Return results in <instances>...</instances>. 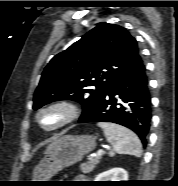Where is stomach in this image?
I'll list each match as a JSON object with an SVG mask.
<instances>
[{"label": "stomach", "mask_w": 178, "mask_h": 186, "mask_svg": "<svg viewBox=\"0 0 178 186\" xmlns=\"http://www.w3.org/2000/svg\"><path fill=\"white\" fill-rule=\"evenodd\" d=\"M96 146L92 135H65L59 138L39 162L32 181H49L62 169L80 161Z\"/></svg>", "instance_id": "1"}]
</instances>
